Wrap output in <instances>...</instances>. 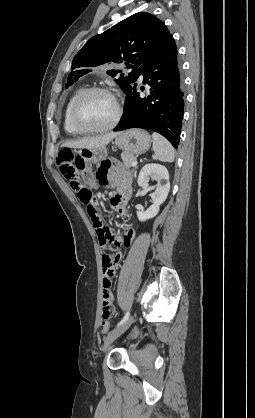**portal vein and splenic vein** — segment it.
Returning <instances> with one entry per match:
<instances>
[{
    "mask_svg": "<svg viewBox=\"0 0 255 418\" xmlns=\"http://www.w3.org/2000/svg\"><path fill=\"white\" fill-rule=\"evenodd\" d=\"M131 166H132V167L137 166V161H133V162H132V164H131Z\"/></svg>",
    "mask_w": 255,
    "mask_h": 418,
    "instance_id": "obj_1",
    "label": "portal vein and splenic vein"
}]
</instances>
